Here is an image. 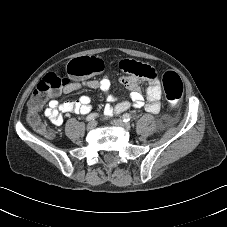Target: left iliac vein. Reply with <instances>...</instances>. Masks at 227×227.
<instances>
[{"mask_svg": "<svg viewBox=\"0 0 227 227\" xmlns=\"http://www.w3.org/2000/svg\"><path fill=\"white\" fill-rule=\"evenodd\" d=\"M111 124L116 126V127L123 128L125 130L131 129L130 123L124 122L121 119H114V120L111 121Z\"/></svg>", "mask_w": 227, "mask_h": 227, "instance_id": "obj_1", "label": "left iliac vein"}]
</instances>
